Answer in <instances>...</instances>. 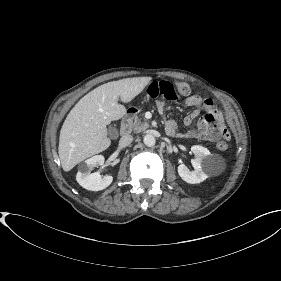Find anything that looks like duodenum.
Instances as JSON below:
<instances>
[{"label": "duodenum", "instance_id": "410a0bca", "mask_svg": "<svg viewBox=\"0 0 281 281\" xmlns=\"http://www.w3.org/2000/svg\"><path fill=\"white\" fill-rule=\"evenodd\" d=\"M136 112L135 110H128L127 113L124 115L120 127V134L125 135L129 132L131 127V122L135 116Z\"/></svg>", "mask_w": 281, "mask_h": 281}]
</instances>
